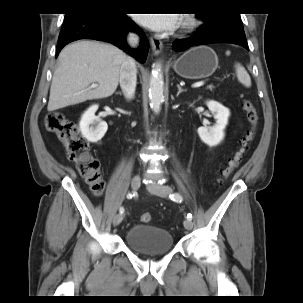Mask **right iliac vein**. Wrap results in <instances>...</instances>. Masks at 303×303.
<instances>
[{
  "label": "right iliac vein",
  "mask_w": 303,
  "mask_h": 303,
  "mask_svg": "<svg viewBox=\"0 0 303 303\" xmlns=\"http://www.w3.org/2000/svg\"><path fill=\"white\" fill-rule=\"evenodd\" d=\"M140 185H141V179H140V177H139V176H134V177L132 178V180H131V187H132V189H133L134 191H136V190L139 189ZM123 217H124V216H123L122 214L116 215V216L114 217V219H113V225H114V226L119 225V224L122 222Z\"/></svg>",
  "instance_id": "63e3f726"
}]
</instances>
